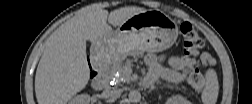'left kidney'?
Listing matches in <instances>:
<instances>
[{
	"mask_svg": "<svg viewBox=\"0 0 252 104\" xmlns=\"http://www.w3.org/2000/svg\"><path fill=\"white\" fill-rule=\"evenodd\" d=\"M168 102L170 104H187L188 103V101L180 95L169 98Z\"/></svg>",
	"mask_w": 252,
	"mask_h": 104,
	"instance_id": "1",
	"label": "left kidney"
}]
</instances>
